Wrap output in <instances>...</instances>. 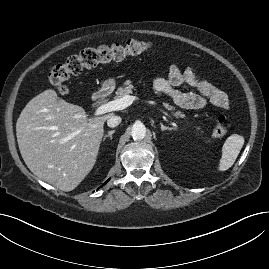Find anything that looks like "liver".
<instances>
[{
  "mask_svg": "<svg viewBox=\"0 0 269 269\" xmlns=\"http://www.w3.org/2000/svg\"><path fill=\"white\" fill-rule=\"evenodd\" d=\"M113 115L89 116L77 105L48 89L22 110L16 135L22 158L39 179L62 191H72L92 170L104 133Z\"/></svg>",
  "mask_w": 269,
  "mask_h": 269,
  "instance_id": "obj_1",
  "label": "liver"
}]
</instances>
